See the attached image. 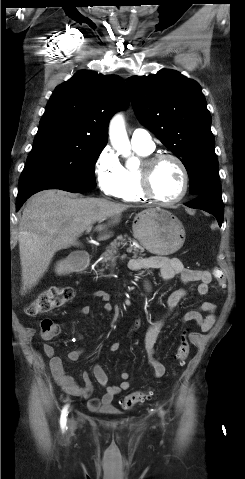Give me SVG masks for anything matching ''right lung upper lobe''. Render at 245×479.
Returning <instances> with one entry per match:
<instances>
[{"label": "right lung upper lobe", "instance_id": "right-lung-upper-lobe-1", "mask_svg": "<svg viewBox=\"0 0 245 479\" xmlns=\"http://www.w3.org/2000/svg\"><path fill=\"white\" fill-rule=\"evenodd\" d=\"M127 103L128 90L122 78L81 70L55 89L39 130H65L105 146L109 119Z\"/></svg>", "mask_w": 245, "mask_h": 479}]
</instances>
